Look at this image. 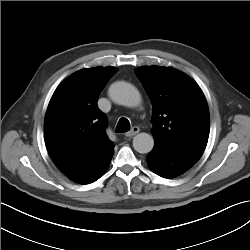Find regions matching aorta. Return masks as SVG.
<instances>
[{"label":"aorta","mask_w":250,"mask_h":250,"mask_svg":"<svg viewBox=\"0 0 250 250\" xmlns=\"http://www.w3.org/2000/svg\"><path fill=\"white\" fill-rule=\"evenodd\" d=\"M110 98L117 104L135 107L140 104L141 96L130 83L119 81L109 88ZM154 146V139L148 133H139L133 138V147L138 153H149Z\"/></svg>","instance_id":"762f6f07"}]
</instances>
